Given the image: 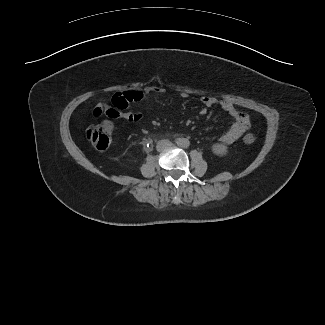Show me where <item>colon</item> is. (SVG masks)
Here are the masks:
<instances>
[{"label": "colon", "mask_w": 325, "mask_h": 325, "mask_svg": "<svg viewBox=\"0 0 325 325\" xmlns=\"http://www.w3.org/2000/svg\"><path fill=\"white\" fill-rule=\"evenodd\" d=\"M85 137L96 150H106L112 139V124L108 121H103L98 124L90 125L85 129ZM255 140V136L250 133L243 137V141L246 144H251L255 142Z\"/></svg>", "instance_id": "colon-1"}]
</instances>
